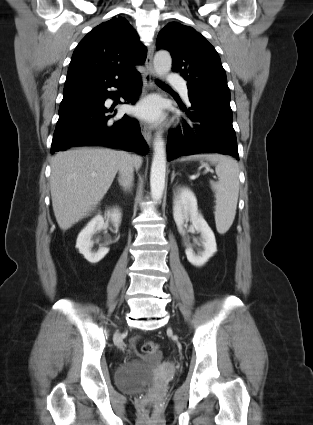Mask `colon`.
<instances>
[{"label":"colon","mask_w":313,"mask_h":425,"mask_svg":"<svg viewBox=\"0 0 313 425\" xmlns=\"http://www.w3.org/2000/svg\"><path fill=\"white\" fill-rule=\"evenodd\" d=\"M140 350L144 354H152L158 351V345L152 341H146L141 345Z\"/></svg>","instance_id":"obj_1"}]
</instances>
